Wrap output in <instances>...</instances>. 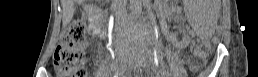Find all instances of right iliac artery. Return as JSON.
I'll return each mask as SVG.
<instances>
[{
  "label": "right iliac artery",
  "instance_id": "right-iliac-artery-1",
  "mask_svg": "<svg viewBox=\"0 0 258 77\" xmlns=\"http://www.w3.org/2000/svg\"><path fill=\"white\" fill-rule=\"evenodd\" d=\"M113 77H118V73H116Z\"/></svg>",
  "mask_w": 258,
  "mask_h": 77
}]
</instances>
